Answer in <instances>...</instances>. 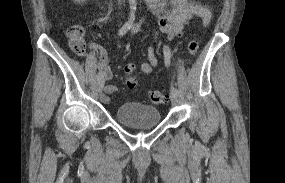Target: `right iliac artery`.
<instances>
[{"label":"right iliac artery","mask_w":285,"mask_h":183,"mask_svg":"<svg viewBox=\"0 0 285 183\" xmlns=\"http://www.w3.org/2000/svg\"><path fill=\"white\" fill-rule=\"evenodd\" d=\"M133 20H134V12L132 11L130 19L119 30L120 36L124 35L130 29V27L132 26ZM103 77H104L103 74L101 72H99L97 75V79L99 80V79H102Z\"/></svg>","instance_id":"obj_1"}]
</instances>
